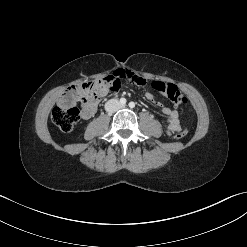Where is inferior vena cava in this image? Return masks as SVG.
<instances>
[{
	"label": "inferior vena cava",
	"instance_id": "inferior-vena-cava-1",
	"mask_svg": "<svg viewBox=\"0 0 247 247\" xmlns=\"http://www.w3.org/2000/svg\"><path fill=\"white\" fill-rule=\"evenodd\" d=\"M122 107L121 103L117 99H111L105 103V110L108 113H114Z\"/></svg>",
	"mask_w": 247,
	"mask_h": 247
}]
</instances>
